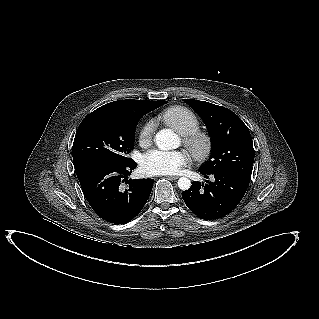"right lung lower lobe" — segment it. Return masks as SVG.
<instances>
[{
    "label": "right lung lower lobe",
    "instance_id": "obj_1",
    "mask_svg": "<svg viewBox=\"0 0 319 319\" xmlns=\"http://www.w3.org/2000/svg\"><path fill=\"white\" fill-rule=\"evenodd\" d=\"M135 167L136 163L131 160L126 165H92L77 173L85 198L103 220L124 224L144 207L153 179L128 180L129 171ZM124 181L129 185L125 190L121 188Z\"/></svg>",
    "mask_w": 319,
    "mask_h": 319
}]
</instances>
